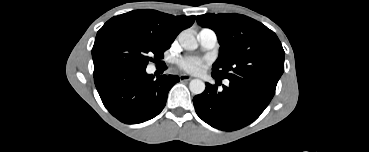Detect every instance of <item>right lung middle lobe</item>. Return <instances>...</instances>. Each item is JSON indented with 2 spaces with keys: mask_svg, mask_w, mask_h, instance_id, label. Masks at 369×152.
I'll use <instances>...</instances> for the list:
<instances>
[{
  "mask_svg": "<svg viewBox=\"0 0 369 152\" xmlns=\"http://www.w3.org/2000/svg\"><path fill=\"white\" fill-rule=\"evenodd\" d=\"M168 48L135 27L106 22L92 49L94 76L122 66L146 68L153 58H163Z\"/></svg>",
  "mask_w": 369,
  "mask_h": 152,
  "instance_id": "dd1d6c3e",
  "label": "right lung middle lobe"
}]
</instances>
